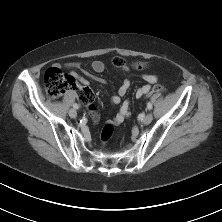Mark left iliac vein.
Listing matches in <instances>:
<instances>
[{"label": "left iliac vein", "mask_w": 222, "mask_h": 222, "mask_svg": "<svg viewBox=\"0 0 222 222\" xmlns=\"http://www.w3.org/2000/svg\"><path fill=\"white\" fill-rule=\"evenodd\" d=\"M152 119H153L152 114H151V113H148V114L142 119V123H143L144 125H148V124L151 123Z\"/></svg>", "instance_id": "1"}]
</instances>
